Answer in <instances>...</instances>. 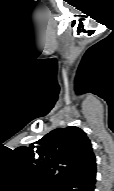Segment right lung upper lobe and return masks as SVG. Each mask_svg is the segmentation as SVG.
<instances>
[{"label": "right lung upper lobe", "instance_id": "right-lung-upper-lobe-1", "mask_svg": "<svg viewBox=\"0 0 114 191\" xmlns=\"http://www.w3.org/2000/svg\"><path fill=\"white\" fill-rule=\"evenodd\" d=\"M15 151L24 165L52 188L96 169L90 140L74 126L55 129L29 147Z\"/></svg>", "mask_w": 114, "mask_h": 191}]
</instances>
